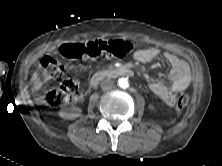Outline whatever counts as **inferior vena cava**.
I'll return each mask as SVG.
<instances>
[{"label": "inferior vena cava", "instance_id": "1", "mask_svg": "<svg viewBox=\"0 0 222 166\" xmlns=\"http://www.w3.org/2000/svg\"><path fill=\"white\" fill-rule=\"evenodd\" d=\"M101 87L104 90H109L113 87V82L110 79H104L101 81Z\"/></svg>", "mask_w": 222, "mask_h": 166}]
</instances>
